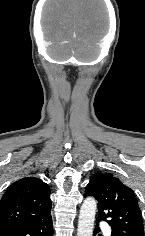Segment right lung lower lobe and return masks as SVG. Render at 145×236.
Masks as SVG:
<instances>
[{
  "label": "right lung lower lobe",
  "instance_id": "1",
  "mask_svg": "<svg viewBox=\"0 0 145 236\" xmlns=\"http://www.w3.org/2000/svg\"><path fill=\"white\" fill-rule=\"evenodd\" d=\"M0 236H53L52 216L0 229Z\"/></svg>",
  "mask_w": 145,
  "mask_h": 236
}]
</instances>
